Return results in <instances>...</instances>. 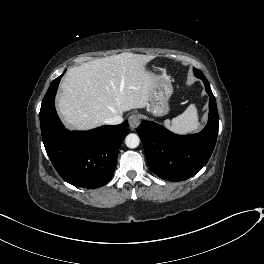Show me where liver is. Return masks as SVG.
<instances>
[{"instance_id":"6515ba94","label":"liver","mask_w":264,"mask_h":264,"mask_svg":"<svg viewBox=\"0 0 264 264\" xmlns=\"http://www.w3.org/2000/svg\"><path fill=\"white\" fill-rule=\"evenodd\" d=\"M152 59L124 52L69 69L61 82L58 113L73 129L84 131L124 111L147 107L153 75L145 65Z\"/></svg>"}]
</instances>
